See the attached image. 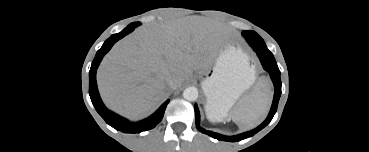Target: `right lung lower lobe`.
I'll return each instance as SVG.
<instances>
[{
    "instance_id": "obj_1",
    "label": "right lung lower lobe",
    "mask_w": 369,
    "mask_h": 152,
    "mask_svg": "<svg viewBox=\"0 0 369 152\" xmlns=\"http://www.w3.org/2000/svg\"><path fill=\"white\" fill-rule=\"evenodd\" d=\"M139 23H132L128 25L123 31L118 34L112 35L109 39L105 41L103 46L98 50L91 68L89 72V95L91 101L97 110V112L102 116V118L113 128L116 130L125 132V133H140L142 131H146L149 129L154 128L163 118L165 109L167 104L170 100H167L154 114L150 117L146 118L145 120L131 123L128 120L120 117L119 115L109 111L101 101L99 96V92L97 89L96 84V70L103 58V56L110 50L113 44L124 37L125 35L129 34L137 27Z\"/></svg>"
}]
</instances>
